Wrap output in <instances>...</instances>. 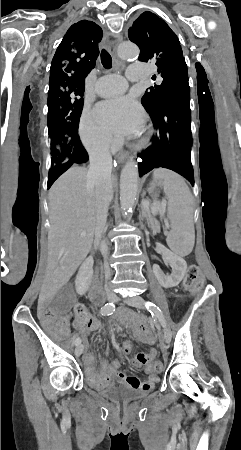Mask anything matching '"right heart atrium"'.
<instances>
[{"label": "right heart atrium", "mask_w": 241, "mask_h": 450, "mask_svg": "<svg viewBox=\"0 0 241 450\" xmlns=\"http://www.w3.org/2000/svg\"><path fill=\"white\" fill-rule=\"evenodd\" d=\"M79 133L90 155H107L114 145L112 136L93 120L88 110L81 115Z\"/></svg>", "instance_id": "d8ad5b80"}]
</instances>
